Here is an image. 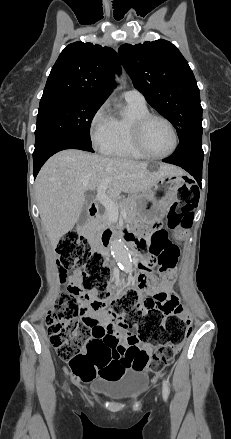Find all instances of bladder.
Here are the masks:
<instances>
[{
  "label": "bladder",
  "instance_id": "obj_1",
  "mask_svg": "<svg viewBox=\"0 0 231 439\" xmlns=\"http://www.w3.org/2000/svg\"><path fill=\"white\" fill-rule=\"evenodd\" d=\"M147 385V375L142 370L130 368L125 377L117 383L98 386L99 393L113 400L137 397Z\"/></svg>",
  "mask_w": 231,
  "mask_h": 439
}]
</instances>
